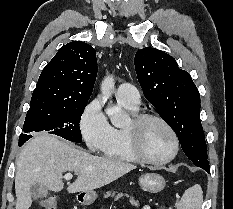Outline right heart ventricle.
<instances>
[{
	"instance_id": "obj_1",
	"label": "right heart ventricle",
	"mask_w": 233,
	"mask_h": 209,
	"mask_svg": "<svg viewBox=\"0 0 233 209\" xmlns=\"http://www.w3.org/2000/svg\"><path fill=\"white\" fill-rule=\"evenodd\" d=\"M118 102L132 114L138 113V107L130 106L119 100ZM101 151L104 156L113 160L123 162L138 161L128 146L125 128H113V136L111 141Z\"/></svg>"
}]
</instances>
